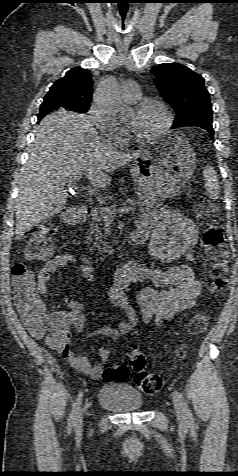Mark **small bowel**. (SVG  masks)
I'll return each instance as SVG.
<instances>
[{
	"mask_svg": "<svg viewBox=\"0 0 238 476\" xmlns=\"http://www.w3.org/2000/svg\"><path fill=\"white\" fill-rule=\"evenodd\" d=\"M138 228L150 235L149 248L154 258L167 263L180 258L194 262L192 249L198 240V230L194 223L181 213L167 208L145 212L141 216ZM69 265L75 266L79 276L90 284H95L94 266L88 258L72 253H61L47 260L39 269L36 282L38 294H48L52 275ZM140 281H150L153 287L143 288L134 294V299L141 308L138 313L131 302L130 294L131 285ZM201 290V283L196 279L191 265H177L162 270L130 263L115 272L114 285L107 295L108 303L122 310V321L118 328L104 327L91 333L89 337L104 336L116 341L140 324L160 325L165 320L194 307ZM64 298L68 309L49 312L47 315L51 331L66 332L64 339L55 349L76 370L93 379H99L103 363L108 361L111 352L106 347H100L99 355L102 363L93 366L88 357L71 350L70 328L73 327L78 332L83 330L84 312L88 308V303L77 301L68 295ZM44 306L47 311L45 304Z\"/></svg>",
	"mask_w": 238,
	"mask_h": 476,
	"instance_id": "small-bowel-1",
	"label": "small bowel"
}]
</instances>
